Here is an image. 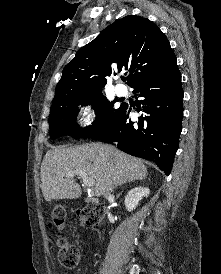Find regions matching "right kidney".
Wrapping results in <instances>:
<instances>
[{"label":"right kidney","mask_w":221,"mask_h":274,"mask_svg":"<svg viewBox=\"0 0 221 274\" xmlns=\"http://www.w3.org/2000/svg\"><path fill=\"white\" fill-rule=\"evenodd\" d=\"M150 190L146 187L131 189L125 197V206L129 212L133 211L143 197H147Z\"/></svg>","instance_id":"1"}]
</instances>
